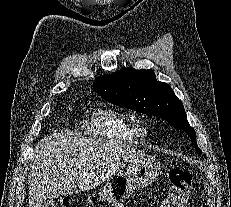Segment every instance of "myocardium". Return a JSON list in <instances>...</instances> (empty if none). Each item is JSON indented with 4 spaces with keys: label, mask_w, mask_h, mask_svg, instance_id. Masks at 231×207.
Wrapping results in <instances>:
<instances>
[{
    "label": "myocardium",
    "mask_w": 231,
    "mask_h": 207,
    "mask_svg": "<svg viewBox=\"0 0 231 207\" xmlns=\"http://www.w3.org/2000/svg\"><path fill=\"white\" fill-rule=\"evenodd\" d=\"M141 132H145L146 128L144 127L143 124H141V128H139Z\"/></svg>",
    "instance_id": "f54148a6"
}]
</instances>
